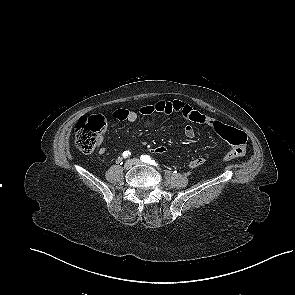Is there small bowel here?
<instances>
[{
    "label": "small bowel",
    "mask_w": 295,
    "mask_h": 295,
    "mask_svg": "<svg viewBox=\"0 0 295 295\" xmlns=\"http://www.w3.org/2000/svg\"><path fill=\"white\" fill-rule=\"evenodd\" d=\"M139 113L144 116H151L154 113L170 115V114H180L184 117L188 124L184 128V134L187 138L192 139L196 135L195 125H205L215 131L217 134L219 133V126L225 125L220 121L207 116L195 109H193L190 105L182 102L180 100L174 101H157L153 104L144 105L140 108ZM107 114L114 119L128 122H135L138 118V113L134 110L124 109V108H111L107 110ZM146 125H151V121L148 120ZM221 136V135H220ZM100 155L105 153V148L101 147L98 150ZM205 159L203 157H197L192 159L188 166L189 168H197L203 165Z\"/></svg>",
    "instance_id": "c3829d8e"
}]
</instances>
